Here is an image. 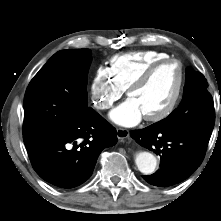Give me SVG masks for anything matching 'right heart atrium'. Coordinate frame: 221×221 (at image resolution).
<instances>
[{
  "label": "right heart atrium",
  "mask_w": 221,
  "mask_h": 221,
  "mask_svg": "<svg viewBox=\"0 0 221 221\" xmlns=\"http://www.w3.org/2000/svg\"><path fill=\"white\" fill-rule=\"evenodd\" d=\"M124 93L125 89L115 81L108 68L99 66L96 69L90 84L91 100L96 109H110Z\"/></svg>",
  "instance_id": "right-heart-atrium-1"
}]
</instances>
